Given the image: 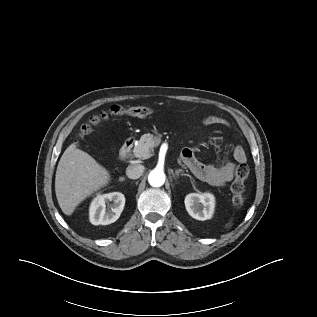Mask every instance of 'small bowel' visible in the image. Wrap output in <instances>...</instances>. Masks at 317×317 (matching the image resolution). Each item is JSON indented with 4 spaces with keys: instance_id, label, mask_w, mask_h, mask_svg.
Returning <instances> with one entry per match:
<instances>
[{
    "instance_id": "1",
    "label": "small bowel",
    "mask_w": 317,
    "mask_h": 317,
    "mask_svg": "<svg viewBox=\"0 0 317 317\" xmlns=\"http://www.w3.org/2000/svg\"><path fill=\"white\" fill-rule=\"evenodd\" d=\"M205 125L227 126L228 122L218 116L209 115L203 119ZM184 164L192 174L213 186L223 187L235 177V170L239 164H245L246 153L241 146H236L232 153V159H225L220 164H205L197 159L192 149L184 148L181 152Z\"/></svg>"
}]
</instances>
